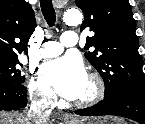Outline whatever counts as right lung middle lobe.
<instances>
[{
    "mask_svg": "<svg viewBox=\"0 0 145 124\" xmlns=\"http://www.w3.org/2000/svg\"><path fill=\"white\" fill-rule=\"evenodd\" d=\"M18 65L22 66L18 55L0 52V83L23 84L25 76L21 75Z\"/></svg>",
    "mask_w": 145,
    "mask_h": 124,
    "instance_id": "dd1d6c3e",
    "label": "right lung middle lobe"
}]
</instances>
